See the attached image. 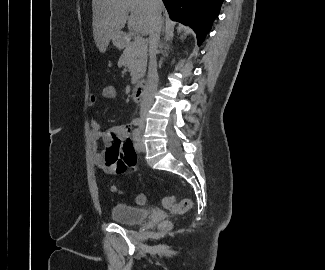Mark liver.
Returning a JSON list of instances; mask_svg holds the SVG:
<instances>
[{
	"label": "liver",
	"instance_id": "1",
	"mask_svg": "<svg viewBox=\"0 0 325 270\" xmlns=\"http://www.w3.org/2000/svg\"><path fill=\"white\" fill-rule=\"evenodd\" d=\"M92 12L93 37L101 53L106 51L111 39L121 34L126 22L130 31L149 34L151 9L148 0H92Z\"/></svg>",
	"mask_w": 325,
	"mask_h": 270
}]
</instances>
